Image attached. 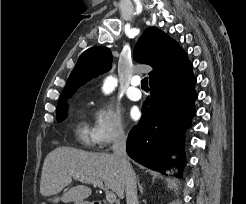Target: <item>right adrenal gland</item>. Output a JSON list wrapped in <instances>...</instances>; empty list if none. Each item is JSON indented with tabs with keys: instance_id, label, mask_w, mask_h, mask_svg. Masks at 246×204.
I'll return each mask as SVG.
<instances>
[{
	"instance_id": "right-adrenal-gland-1",
	"label": "right adrenal gland",
	"mask_w": 246,
	"mask_h": 204,
	"mask_svg": "<svg viewBox=\"0 0 246 204\" xmlns=\"http://www.w3.org/2000/svg\"><path fill=\"white\" fill-rule=\"evenodd\" d=\"M136 180H137V183H138L140 194H143V187H142V185L140 183V180H139V176L138 175L136 176Z\"/></svg>"
}]
</instances>
